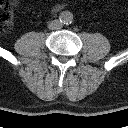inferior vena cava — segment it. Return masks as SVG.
I'll use <instances>...</instances> for the list:
<instances>
[{"label": "inferior vena cava", "mask_w": 128, "mask_h": 128, "mask_svg": "<svg viewBox=\"0 0 128 128\" xmlns=\"http://www.w3.org/2000/svg\"><path fill=\"white\" fill-rule=\"evenodd\" d=\"M62 27V24L59 20H53L49 23V29L51 30H57Z\"/></svg>", "instance_id": "inferior-vena-cava-1"}]
</instances>
